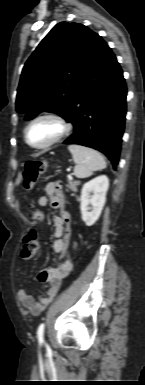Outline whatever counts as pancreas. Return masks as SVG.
<instances>
[{"label":"pancreas","instance_id":"1","mask_svg":"<svg viewBox=\"0 0 145 385\" xmlns=\"http://www.w3.org/2000/svg\"><path fill=\"white\" fill-rule=\"evenodd\" d=\"M80 184L79 181H71L69 180L68 181V184L66 185V187L71 190L72 192H77V186Z\"/></svg>","mask_w":145,"mask_h":385}]
</instances>
